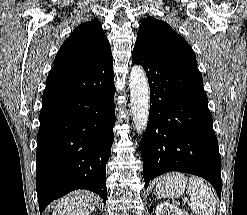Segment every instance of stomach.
<instances>
[{
	"label": "stomach",
	"mask_w": 247,
	"mask_h": 215,
	"mask_svg": "<svg viewBox=\"0 0 247 215\" xmlns=\"http://www.w3.org/2000/svg\"><path fill=\"white\" fill-rule=\"evenodd\" d=\"M186 183L181 175H166L157 183L156 193L159 197H178L184 192Z\"/></svg>",
	"instance_id": "obj_1"
}]
</instances>
